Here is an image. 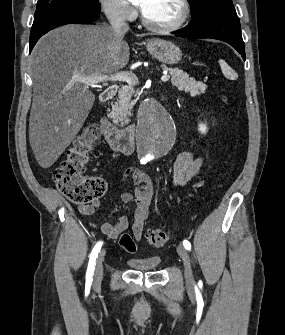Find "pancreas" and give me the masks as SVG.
Masks as SVG:
<instances>
[{
    "label": "pancreas",
    "mask_w": 285,
    "mask_h": 335,
    "mask_svg": "<svg viewBox=\"0 0 285 335\" xmlns=\"http://www.w3.org/2000/svg\"><path fill=\"white\" fill-rule=\"evenodd\" d=\"M163 70L170 72L172 86H177L178 90H184V92H190L191 96H200L205 94L207 86L203 82H197L195 78H190L187 72L179 70V68H166L162 66ZM120 98L118 104L112 107L113 112H108V119L116 120L118 125H125L130 122L128 116L131 114L133 104H130L132 96H136L137 92L133 86H122L120 92Z\"/></svg>",
    "instance_id": "cf45deb5"
}]
</instances>
